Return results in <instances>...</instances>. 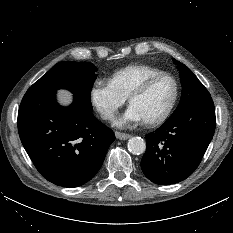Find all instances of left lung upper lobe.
<instances>
[{
  "label": "left lung upper lobe",
  "instance_id": "obj_1",
  "mask_svg": "<svg viewBox=\"0 0 233 233\" xmlns=\"http://www.w3.org/2000/svg\"><path fill=\"white\" fill-rule=\"evenodd\" d=\"M173 61L176 63L175 59ZM177 67L180 73L182 95L178 107L169 118L177 116L195 105L212 101L207 89L187 66L177 62Z\"/></svg>",
  "mask_w": 233,
  "mask_h": 233
}]
</instances>
